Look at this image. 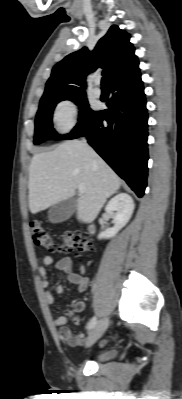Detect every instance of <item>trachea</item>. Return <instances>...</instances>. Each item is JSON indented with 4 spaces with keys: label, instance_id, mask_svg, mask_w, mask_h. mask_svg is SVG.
<instances>
[{
    "label": "trachea",
    "instance_id": "1",
    "mask_svg": "<svg viewBox=\"0 0 182 399\" xmlns=\"http://www.w3.org/2000/svg\"><path fill=\"white\" fill-rule=\"evenodd\" d=\"M108 79L106 77L102 78V88H107Z\"/></svg>",
    "mask_w": 182,
    "mask_h": 399
}]
</instances>
